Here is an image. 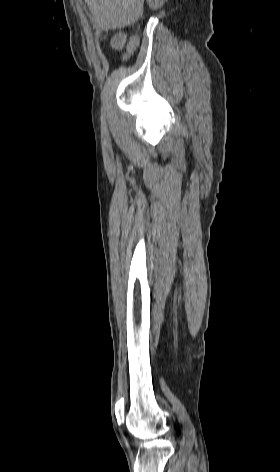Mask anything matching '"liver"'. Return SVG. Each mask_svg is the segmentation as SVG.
Returning <instances> with one entry per match:
<instances>
[{"mask_svg":"<svg viewBox=\"0 0 280 472\" xmlns=\"http://www.w3.org/2000/svg\"><path fill=\"white\" fill-rule=\"evenodd\" d=\"M92 23L104 31L135 23L143 14L144 0H85Z\"/></svg>","mask_w":280,"mask_h":472,"instance_id":"6515ba94","label":"liver"}]
</instances>
